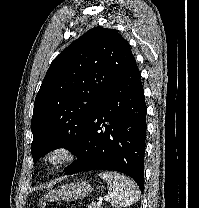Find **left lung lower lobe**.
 Listing matches in <instances>:
<instances>
[{"mask_svg": "<svg viewBox=\"0 0 199 208\" xmlns=\"http://www.w3.org/2000/svg\"><path fill=\"white\" fill-rule=\"evenodd\" d=\"M146 103L136 61L95 107L66 175L92 169L115 170L144 187Z\"/></svg>", "mask_w": 199, "mask_h": 208, "instance_id": "0a47b994", "label": "left lung lower lobe"}]
</instances>
